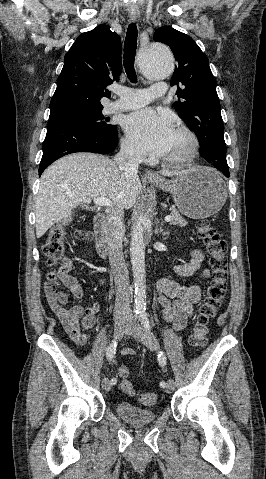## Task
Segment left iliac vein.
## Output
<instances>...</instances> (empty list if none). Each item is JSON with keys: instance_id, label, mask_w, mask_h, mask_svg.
I'll return each instance as SVG.
<instances>
[{"instance_id": "left-iliac-vein-1", "label": "left iliac vein", "mask_w": 266, "mask_h": 479, "mask_svg": "<svg viewBox=\"0 0 266 479\" xmlns=\"http://www.w3.org/2000/svg\"><path fill=\"white\" fill-rule=\"evenodd\" d=\"M127 335H132L139 341H141L149 350L157 351L159 349L158 341L156 338L148 332L143 327L129 321L128 327L125 331ZM174 390V381L172 379H168L165 387V391L167 393H171Z\"/></svg>"}]
</instances>
